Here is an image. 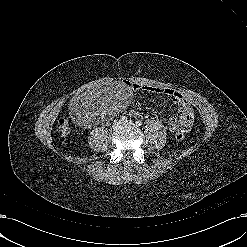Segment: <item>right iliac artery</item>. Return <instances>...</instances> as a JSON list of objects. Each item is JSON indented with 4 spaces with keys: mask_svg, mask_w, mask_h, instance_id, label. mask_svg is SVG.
<instances>
[{
    "mask_svg": "<svg viewBox=\"0 0 247 247\" xmlns=\"http://www.w3.org/2000/svg\"><path fill=\"white\" fill-rule=\"evenodd\" d=\"M121 120H122V121H126L127 118H126L125 116H122V117H121Z\"/></svg>",
    "mask_w": 247,
    "mask_h": 247,
    "instance_id": "82829eb1",
    "label": "right iliac artery"
}]
</instances>
